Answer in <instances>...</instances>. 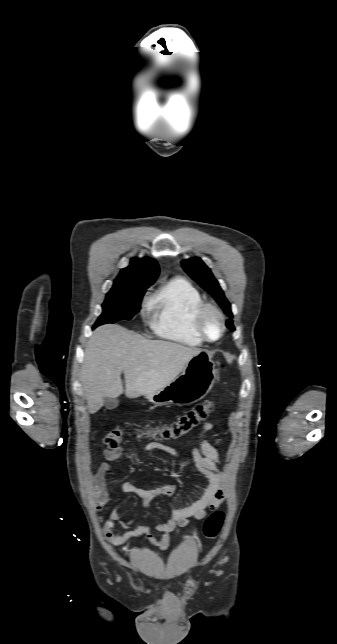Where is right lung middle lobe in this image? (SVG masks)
<instances>
[{"instance_id":"dd1d6c3e","label":"right lung middle lobe","mask_w":337,"mask_h":644,"mask_svg":"<svg viewBox=\"0 0 337 644\" xmlns=\"http://www.w3.org/2000/svg\"><path fill=\"white\" fill-rule=\"evenodd\" d=\"M145 288L111 289L102 305L103 312L93 328L120 320H130L140 310Z\"/></svg>"}]
</instances>
